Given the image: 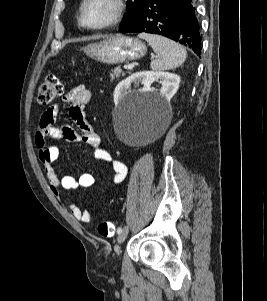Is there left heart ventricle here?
<instances>
[{
  "mask_svg": "<svg viewBox=\"0 0 267 301\" xmlns=\"http://www.w3.org/2000/svg\"><path fill=\"white\" fill-rule=\"evenodd\" d=\"M111 0H89L85 8V22L88 25H98L107 21L113 14Z\"/></svg>",
  "mask_w": 267,
  "mask_h": 301,
  "instance_id": "obj_1",
  "label": "left heart ventricle"
}]
</instances>
